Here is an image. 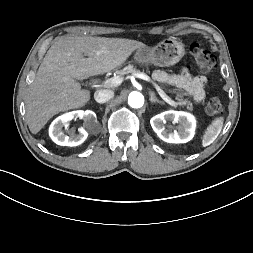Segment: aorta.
<instances>
[{"instance_id":"1","label":"aorta","mask_w":253,"mask_h":253,"mask_svg":"<svg viewBox=\"0 0 253 253\" xmlns=\"http://www.w3.org/2000/svg\"><path fill=\"white\" fill-rule=\"evenodd\" d=\"M128 104L132 108H141L144 104V96L140 92H131L128 96Z\"/></svg>"}]
</instances>
